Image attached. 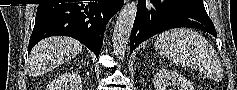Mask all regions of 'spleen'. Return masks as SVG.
Masks as SVG:
<instances>
[{"label": "spleen", "instance_id": "obj_1", "mask_svg": "<svg viewBox=\"0 0 237 90\" xmlns=\"http://www.w3.org/2000/svg\"><path fill=\"white\" fill-rule=\"evenodd\" d=\"M155 50L171 62L188 66L203 74L216 72L219 64L211 44L201 34L188 28H174L162 32L155 42Z\"/></svg>", "mask_w": 237, "mask_h": 90}]
</instances>
